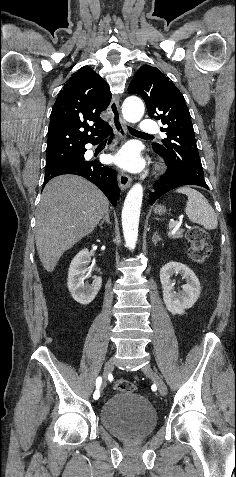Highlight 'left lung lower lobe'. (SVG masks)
I'll use <instances>...</instances> for the list:
<instances>
[{
  "label": "left lung lower lobe",
  "mask_w": 236,
  "mask_h": 477,
  "mask_svg": "<svg viewBox=\"0 0 236 477\" xmlns=\"http://www.w3.org/2000/svg\"><path fill=\"white\" fill-rule=\"evenodd\" d=\"M167 165L166 174L161 176V178L155 182L153 190L149 195V203L153 204L156 199L161 197L163 194L168 191L184 185H197L203 188L208 189V186L205 180H200L198 178H193L185 174L180 173L175 168Z\"/></svg>",
  "instance_id": "0a47b994"
}]
</instances>
